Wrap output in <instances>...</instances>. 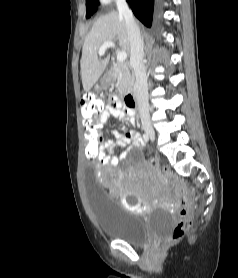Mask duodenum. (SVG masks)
I'll return each mask as SVG.
<instances>
[{
  "label": "duodenum",
  "instance_id": "duodenum-1",
  "mask_svg": "<svg viewBox=\"0 0 238 278\" xmlns=\"http://www.w3.org/2000/svg\"><path fill=\"white\" fill-rule=\"evenodd\" d=\"M125 102L126 104L131 107L134 108L137 106V94L135 91H129L126 96H125Z\"/></svg>",
  "mask_w": 238,
  "mask_h": 278
}]
</instances>
